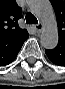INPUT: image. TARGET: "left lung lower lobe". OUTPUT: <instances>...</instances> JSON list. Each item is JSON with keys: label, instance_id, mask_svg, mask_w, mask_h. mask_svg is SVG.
Listing matches in <instances>:
<instances>
[{"label": "left lung lower lobe", "instance_id": "0a47b994", "mask_svg": "<svg viewBox=\"0 0 65 89\" xmlns=\"http://www.w3.org/2000/svg\"><path fill=\"white\" fill-rule=\"evenodd\" d=\"M45 53L54 64L65 66V39L59 38L58 45Z\"/></svg>", "mask_w": 65, "mask_h": 89}]
</instances>
